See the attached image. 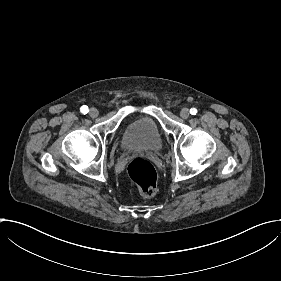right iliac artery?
I'll return each instance as SVG.
<instances>
[{
    "label": "right iliac artery",
    "instance_id": "1",
    "mask_svg": "<svg viewBox=\"0 0 281 281\" xmlns=\"http://www.w3.org/2000/svg\"><path fill=\"white\" fill-rule=\"evenodd\" d=\"M80 111H81L83 114H87V113L89 112L88 106L83 105V106L80 108Z\"/></svg>",
    "mask_w": 281,
    "mask_h": 281
}]
</instances>
